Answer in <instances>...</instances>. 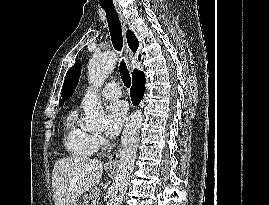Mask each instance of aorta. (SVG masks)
I'll list each match as a JSON object with an SVG mask.
<instances>
[{
	"mask_svg": "<svg viewBox=\"0 0 269 205\" xmlns=\"http://www.w3.org/2000/svg\"><path fill=\"white\" fill-rule=\"evenodd\" d=\"M116 62L117 56L114 52L93 55L88 64L89 82L95 87L100 86L113 71ZM82 105L85 126L89 129L100 126L105 119V114L97 97L94 94H88L83 99ZM142 120L141 111H135L125 125L115 181L110 190V205H120L127 191L130 175L134 169Z\"/></svg>",
	"mask_w": 269,
	"mask_h": 205,
	"instance_id": "aorta-1",
	"label": "aorta"
}]
</instances>
